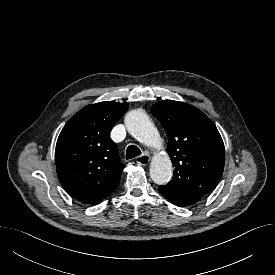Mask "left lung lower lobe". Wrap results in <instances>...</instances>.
<instances>
[{
    "instance_id": "left-lung-lower-lobe-1",
    "label": "left lung lower lobe",
    "mask_w": 275,
    "mask_h": 275,
    "mask_svg": "<svg viewBox=\"0 0 275 275\" xmlns=\"http://www.w3.org/2000/svg\"><path fill=\"white\" fill-rule=\"evenodd\" d=\"M158 189L162 195H164L171 203L177 206H188L201 200V196L199 195H189L185 197H172L167 195L160 187H158Z\"/></svg>"
}]
</instances>
